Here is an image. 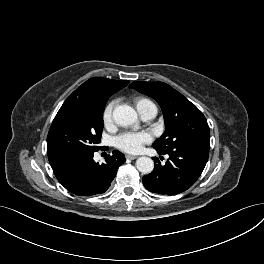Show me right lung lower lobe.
<instances>
[{
  "label": "right lung lower lobe",
  "mask_w": 264,
  "mask_h": 264,
  "mask_svg": "<svg viewBox=\"0 0 264 264\" xmlns=\"http://www.w3.org/2000/svg\"><path fill=\"white\" fill-rule=\"evenodd\" d=\"M95 152L73 151L49 160L56 178L69 192L78 196L104 193L125 162L123 154L115 150L99 164L93 159Z\"/></svg>",
  "instance_id": "obj_1"
}]
</instances>
